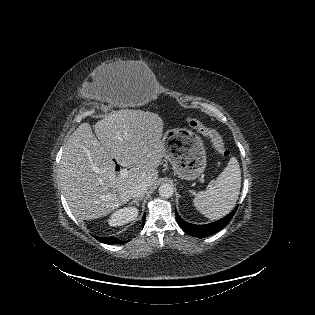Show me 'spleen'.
<instances>
[{"mask_svg": "<svg viewBox=\"0 0 315 315\" xmlns=\"http://www.w3.org/2000/svg\"><path fill=\"white\" fill-rule=\"evenodd\" d=\"M241 187V170L236 157L217 177L214 186L200 191L193 199L195 208L211 220L222 218L234 208Z\"/></svg>", "mask_w": 315, "mask_h": 315, "instance_id": "obj_1", "label": "spleen"}]
</instances>
